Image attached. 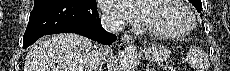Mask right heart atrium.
<instances>
[{
	"mask_svg": "<svg viewBox=\"0 0 230 71\" xmlns=\"http://www.w3.org/2000/svg\"><path fill=\"white\" fill-rule=\"evenodd\" d=\"M107 21L109 23H111V24H116L117 23V21L114 18H112V17H107Z\"/></svg>",
	"mask_w": 230,
	"mask_h": 71,
	"instance_id": "obj_1",
	"label": "right heart atrium"
}]
</instances>
